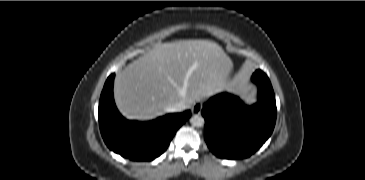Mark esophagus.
Returning a JSON list of instances; mask_svg holds the SVG:
<instances>
[{"instance_id":"esophagus-1","label":"esophagus","mask_w":365,"mask_h":180,"mask_svg":"<svg viewBox=\"0 0 365 180\" xmlns=\"http://www.w3.org/2000/svg\"><path fill=\"white\" fill-rule=\"evenodd\" d=\"M202 108H203L202 103L196 102L192 105L191 111L194 115H199L201 113Z\"/></svg>"}]
</instances>
